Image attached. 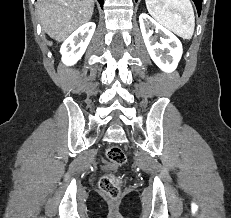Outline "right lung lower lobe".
I'll return each instance as SVG.
<instances>
[{
  "label": "right lung lower lobe",
  "instance_id": "98d812e1",
  "mask_svg": "<svg viewBox=\"0 0 231 218\" xmlns=\"http://www.w3.org/2000/svg\"><path fill=\"white\" fill-rule=\"evenodd\" d=\"M98 2L100 3V6L103 8V0H98Z\"/></svg>",
  "mask_w": 231,
  "mask_h": 218
}]
</instances>
